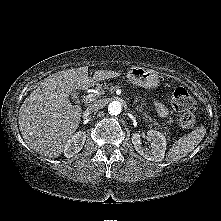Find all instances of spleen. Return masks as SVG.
Here are the masks:
<instances>
[{
    "label": "spleen",
    "mask_w": 221,
    "mask_h": 221,
    "mask_svg": "<svg viewBox=\"0 0 221 221\" xmlns=\"http://www.w3.org/2000/svg\"><path fill=\"white\" fill-rule=\"evenodd\" d=\"M205 133L206 129L204 127H199L178 139L170 148L167 155V161H177L187 156L188 153L193 151L201 142Z\"/></svg>",
    "instance_id": "1"
}]
</instances>
